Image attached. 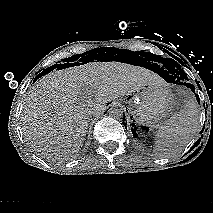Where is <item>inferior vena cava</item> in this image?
I'll use <instances>...</instances> for the list:
<instances>
[{
  "label": "inferior vena cava",
  "instance_id": "inferior-vena-cava-1",
  "mask_svg": "<svg viewBox=\"0 0 213 213\" xmlns=\"http://www.w3.org/2000/svg\"><path fill=\"white\" fill-rule=\"evenodd\" d=\"M92 116L94 118H97L99 116V113L97 111L92 112Z\"/></svg>",
  "mask_w": 213,
  "mask_h": 213
}]
</instances>
